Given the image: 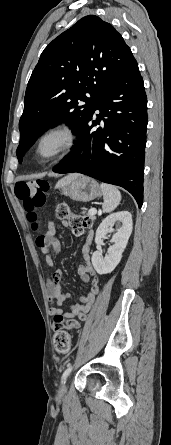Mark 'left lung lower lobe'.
Returning a JSON list of instances; mask_svg holds the SVG:
<instances>
[{
  "label": "left lung lower lobe",
  "mask_w": 171,
  "mask_h": 445,
  "mask_svg": "<svg viewBox=\"0 0 171 445\" xmlns=\"http://www.w3.org/2000/svg\"><path fill=\"white\" fill-rule=\"evenodd\" d=\"M96 110L99 113L94 115ZM147 122L145 88L135 64L106 84L77 136L78 143L53 171L78 172L121 186L141 207ZM97 125L101 126L94 129Z\"/></svg>",
  "instance_id": "obj_1"
}]
</instances>
